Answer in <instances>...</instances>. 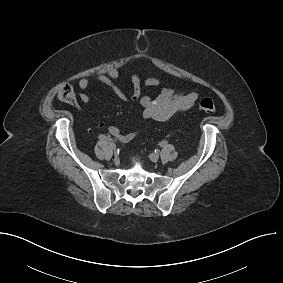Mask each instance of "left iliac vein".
Masks as SVG:
<instances>
[{"instance_id": "4c4485c4", "label": "left iliac vein", "mask_w": 283, "mask_h": 283, "mask_svg": "<svg viewBox=\"0 0 283 283\" xmlns=\"http://www.w3.org/2000/svg\"><path fill=\"white\" fill-rule=\"evenodd\" d=\"M149 158H150L151 161L157 162V161L159 160V155H158V154H155V153H151V154L149 155Z\"/></svg>"}]
</instances>
